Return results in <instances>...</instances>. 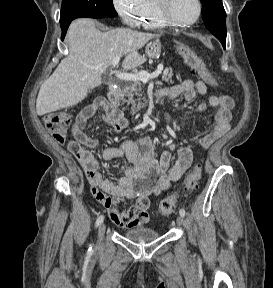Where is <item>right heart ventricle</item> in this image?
I'll return each instance as SVG.
<instances>
[{
  "label": "right heart ventricle",
  "instance_id": "obj_1",
  "mask_svg": "<svg viewBox=\"0 0 273 288\" xmlns=\"http://www.w3.org/2000/svg\"><path fill=\"white\" fill-rule=\"evenodd\" d=\"M138 25L146 29H159L167 25L158 16L154 0H146V7Z\"/></svg>",
  "mask_w": 273,
  "mask_h": 288
}]
</instances>
